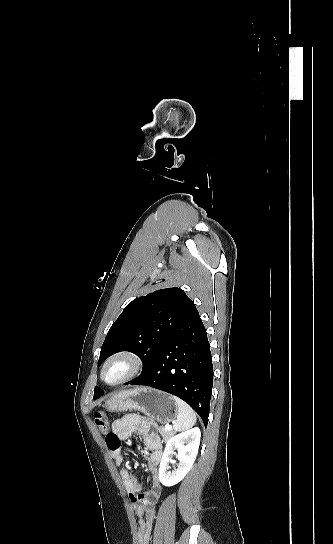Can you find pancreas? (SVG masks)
Wrapping results in <instances>:
<instances>
[{"mask_svg":"<svg viewBox=\"0 0 333 544\" xmlns=\"http://www.w3.org/2000/svg\"><path fill=\"white\" fill-rule=\"evenodd\" d=\"M159 432H160V434H161V436L163 437V440H164L165 442H167L168 439L174 434V432H173L172 430H170V431H165L163 426H160Z\"/></svg>","mask_w":333,"mask_h":544,"instance_id":"obj_1","label":"pancreas"}]
</instances>
